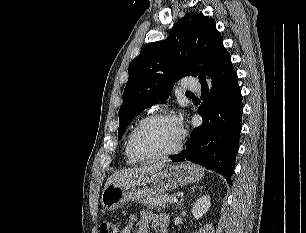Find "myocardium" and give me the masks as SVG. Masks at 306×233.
<instances>
[{
  "instance_id": "f54148a6",
  "label": "myocardium",
  "mask_w": 306,
  "mask_h": 233,
  "mask_svg": "<svg viewBox=\"0 0 306 233\" xmlns=\"http://www.w3.org/2000/svg\"><path fill=\"white\" fill-rule=\"evenodd\" d=\"M162 119H173L174 120L175 117L169 112L153 113V114L145 117L135 127V129L132 131V133L130 135V138H129V149H130L131 155L136 160L147 161V160L166 158V157H170V156H173V155L177 154L181 150L182 145H183V133H182V131H180L178 140H177L175 146L171 150H168V151L162 152V153H148V154L143 153L139 150V148L137 146V138H138L139 134L141 133V131L146 126L151 124L152 122L157 121V120H162Z\"/></svg>"
}]
</instances>
